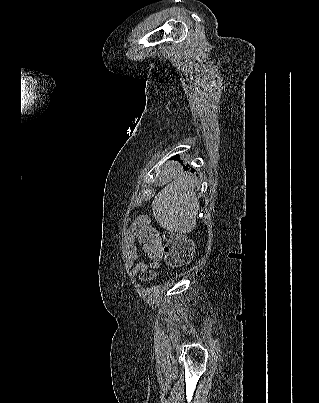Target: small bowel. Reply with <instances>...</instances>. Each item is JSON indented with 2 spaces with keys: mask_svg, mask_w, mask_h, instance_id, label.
<instances>
[{
  "mask_svg": "<svg viewBox=\"0 0 319 403\" xmlns=\"http://www.w3.org/2000/svg\"><path fill=\"white\" fill-rule=\"evenodd\" d=\"M136 258H137L136 246L132 245L131 250L129 251V253L127 255V258H126V264L128 266H132L134 261L136 260ZM157 266H158L157 261L156 262H151V263L139 262L137 265L132 267V269L130 271V274H131V276H136L139 272L146 271L149 268H156Z\"/></svg>",
  "mask_w": 319,
  "mask_h": 403,
  "instance_id": "small-bowel-1",
  "label": "small bowel"
}]
</instances>
